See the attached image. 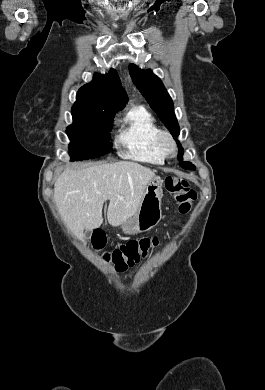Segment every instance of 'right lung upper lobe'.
<instances>
[{
    "mask_svg": "<svg viewBox=\"0 0 265 390\" xmlns=\"http://www.w3.org/2000/svg\"><path fill=\"white\" fill-rule=\"evenodd\" d=\"M128 102V96L121 86L117 72L111 69L108 74L95 73L93 80L77 92L73 107L91 108L114 114Z\"/></svg>",
    "mask_w": 265,
    "mask_h": 390,
    "instance_id": "1",
    "label": "right lung upper lobe"
}]
</instances>
